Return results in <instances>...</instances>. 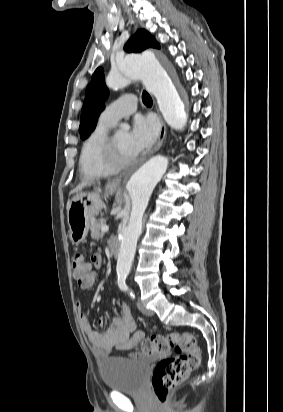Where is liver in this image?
Returning <instances> with one entry per match:
<instances>
[{
	"mask_svg": "<svg viewBox=\"0 0 283 412\" xmlns=\"http://www.w3.org/2000/svg\"><path fill=\"white\" fill-rule=\"evenodd\" d=\"M89 184H90V182H88V181L82 182V183L79 184L74 190H72V191L70 192V194L80 191L82 188L86 187V186L89 185ZM70 203H71V201L68 200L67 206H66L67 211H68V209H69V207H70Z\"/></svg>",
	"mask_w": 283,
	"mask_h": 412,
	"instance_id": "obj_1",
	"label": "liver"
}]
</instances>
